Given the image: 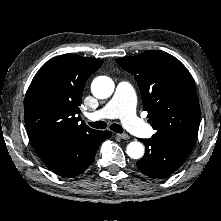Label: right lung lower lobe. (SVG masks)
<instances>
[{
  "label": "right lung lower lobe",
  "instance_id": "98d812e1",
  "mask_svg": "<svg viewBox=\"0 0 221 221\" xmlns=\"http://www.w3.org/2000/svg\"><path fill=\"white\" fill-rule=\"evenodd\" d=\"M110 131L93 130L81 135H52L30 139L43 161L53 172L65 177L78 176L94 161L101 142Z\"/></svg>",
  "mask_w": 221,
  "mask_h": 221
}]
</instances>
